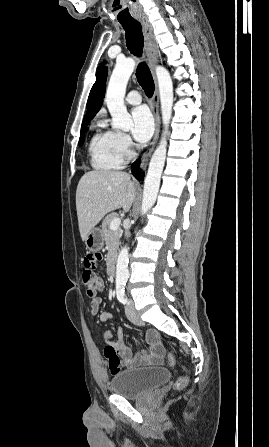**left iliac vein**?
<instances>
[{"instance_id":"left-iliac-vein-1","label":"left iliac vein","mask_w":269,"mask_h":447,"mask_svg":"<svg viewBox=\"0 0 269 447\" xmlns=\"http://www.w3.org/2000/svg\"><path fill=\"white\" fill-rule=\"evenodd\" d=\"M125 313L128 319L137 326L143 325V320L137 315L136 310L132 304H127L125 306Z\"/></svg>"}]
</instances>
